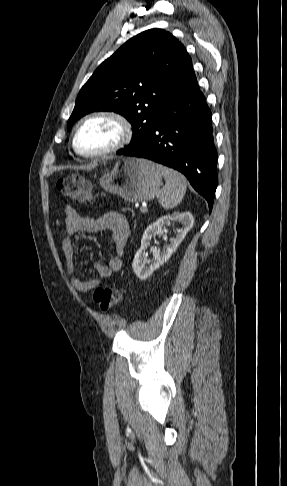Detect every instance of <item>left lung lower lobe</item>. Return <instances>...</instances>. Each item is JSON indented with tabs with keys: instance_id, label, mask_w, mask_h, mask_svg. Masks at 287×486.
I'll return each mask as SVG.
<instances>
[{
	"instance_id": "1",
	"label": "left lung lower lobe",
	"mask_w": 287,
	"mask_h": 486,
	"mask_svg": "<svg viewBox=\"0 0 287 486\" xmlns=\"http://www.w3.org/2000/svg\"><path fill=\"white\" fill-rule=\"evenodd\" d=\"M211 110L194 76L167 102L141 143L117 154L146 158L182 172L211 211L218 183Z\"/></svg>"
}]
</instances>
